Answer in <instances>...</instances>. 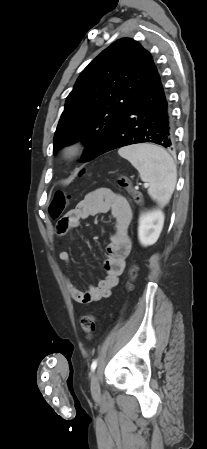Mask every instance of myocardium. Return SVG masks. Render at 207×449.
Masks as SVG:
<instances>
[{
    "mask_svg": "<svg viewBox=\"0 0 207 449\" xmlns=\"http://www.w3.org/2000/svg\"><path fill=\"white\" fill-rule=\"evenodd\" d=\"M84 149V145L81 142H74L64 147L63 157L65 159H74L78 157Z\"/></svg>",
    "mask_w": 207,
    "mask_h": 449,
    "instance_id": "1",
    "label": "myocardium"
}]
</instances>
